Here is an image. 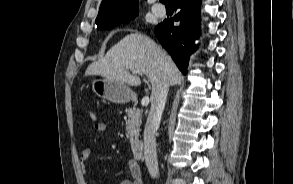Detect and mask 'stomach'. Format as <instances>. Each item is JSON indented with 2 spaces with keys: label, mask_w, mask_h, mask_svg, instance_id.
I'll list each match as a JSON object with an SVG mask.
<instances>
[{
  "label": "stomach",
  "mask_w": 293,
  "mask_h": 184,
  "mask_svg": "<svg viewBox=\"0 0 293 184\" xmlns=\"http://www.w3.org/2000/svg\"><path fill=\"white\" fill-rule=\"evenodd\" d=\"M92 91L98 97L116 104L127 103L134 97V93L128 85L109 78L94 79Z\"/></svg>",
  "instance_id": "obj_1"
}]
</instances>
